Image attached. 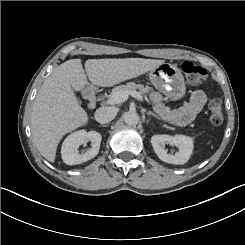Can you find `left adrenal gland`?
<instances>
[{
    "label": "left adrenal gland",
    "mask_w": 245,
    "mask_h": 245,
    "mask_svg": "<svg viewBox=\"0 0 245 245\" xmlns=\"http://www.w3.org/2000/svg\"><path fill=\"white\" fill-rule=\"evenodd\" d=\"M142 111L144 112L145 110L144 109H142ZM149 114H152L154 117H156L157 119H159L160 120V117L159 116H157L153 111H149Z\"/></svg>",
    "instance_id": "1"
}]
</instances>
